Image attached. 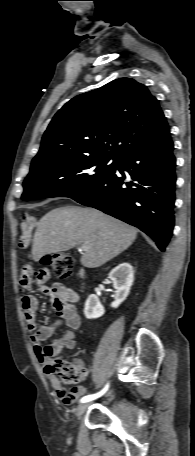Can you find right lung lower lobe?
<instances>
[{"label":"right lung lower lobe","instance_id":"right-lung-lower-lobe-1","mask_svg":"<svg viewBox=\"0 0 195 456\" xmlns=\"http://www.w3.org/2000/svg\"><path fill=\"white\" fill-rule=\"evenodd\" d=\"M173 149L170 139L162 145L126 153L116 164L122 175L114 171L96 188L74 200L138 227L164 251L174 227Z\"/></svg>","mask_w":195,"mask_h":456}]
</instances>
